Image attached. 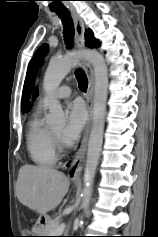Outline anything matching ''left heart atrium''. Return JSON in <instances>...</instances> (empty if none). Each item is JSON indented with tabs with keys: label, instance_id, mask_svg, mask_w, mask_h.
Returning a JSON list of instances; mask_svg holds the SVG:
<instances>
[{
	"label": "left heart atrium",
	"instance_id": "1",
	"mask_svg": "<svg viewBox=\"0 0 158 237\" xmlns=\"http://www.w3.org/2000/svg\"><path fill=\"white\" fill-rule=\"evenodd\" d=\"M87 117L84 105L80 101H74L67 108V124L60 134L65 145L74 144L80 137Z\"/></svg>",
	"mask_w": 158,
	"mask_h": 237
}]
</instances>
